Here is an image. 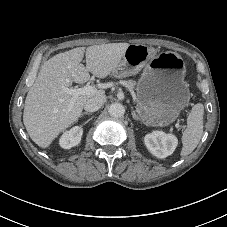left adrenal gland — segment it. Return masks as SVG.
<instances>
[{
  "mask_svg": "<svg viewBox=\"0 0 227 227\" xmlns=\"http://www.w3.org/2000/svg\"><path fill=\"white\" fill-rule=\"evenodd\" d=\"M131 114H132L133 119L139 120V117L137 116V114L135 113L134 110H132Z\"/></svg>",
  "mask_w": 227,
  "mask_h": 227,
  "instance_id": "1",
  "label": "left adrenal gland"
}]
</instances>
